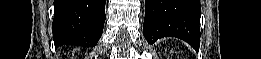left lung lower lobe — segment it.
<instances>
[{"label":"left lung lower lobe","mask_w":261,"mask_h":59,"mask_svg":"<svg viewBox=\"0 0 261 59\" xmlns=\"http://www.w3.org/2000/svg\"><path fill=\"white\" fill-rule=\"evenodd\" d=\"M200 14L199 0H145L144 37L149 44L177 37L198 50Z\"/></svg>","instance_id":"left-lung-lower-lobe-1"}]
</instances>
